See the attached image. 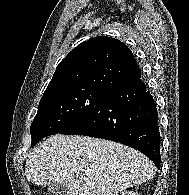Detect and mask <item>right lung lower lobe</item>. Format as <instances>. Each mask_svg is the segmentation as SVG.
<instances>
[{"label":"right lung lower lobe","instance_id":"1","mask_svg":"<svg viewBox=\"0 0 189 195\" xmlns=\"http://www.w3.org/2000/svg\"><path fill=\"white\" fill-rule=\"evenodd\" d=\"M60 134L85 135L132 147L160 168L158 113L141 77L113 91Z\"/></svg>","mask_w":189,"mask_h":195}]
</instances>
